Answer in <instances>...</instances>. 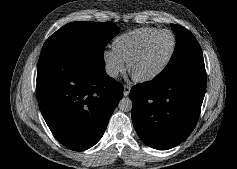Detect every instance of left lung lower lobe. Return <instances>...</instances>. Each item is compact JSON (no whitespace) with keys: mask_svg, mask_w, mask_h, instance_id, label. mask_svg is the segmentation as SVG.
I'll return each mask as SVG.
<instances>
[{"mask_svg":"<svg viewBox=\"0 0 237 169\" xmlns=\"http://www.w3.org/2000/svg\"><path fill=\"white\" fill-rule=\"evenodd\" d=\"M206 88L204 63H195L132 87V121L148 146L166 150L194 129Z\"/></svg>","mask_w":237,"mask_h":169,"instance_id":"left-lung-lower-lobe-1","label":"left lung lower lobe"}]
</instances>
